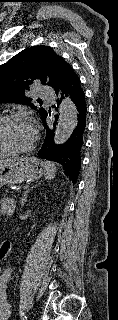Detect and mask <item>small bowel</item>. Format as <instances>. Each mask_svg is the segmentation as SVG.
<instances>
[{
  "mask_svg": "<svg viewBox=\"0 0 118 320\" xmlns=\"http://www.w3.org/2000/svg\"><path fill=\"white\" fill-rule=\"evenodd\" d=\"M14 206V201L10 197H3L0 199V215H8L11 213ZM8 243L6 251L10 250V242ZM3 242V243H4ZM3 243L0 246V250L4 251ZM13 275V268H8L0 274V320H8L10 317V302L7 295V289L9 282Z\"/></svg>",
  "mask_w": 118,
  "mask_h": 320,
  "instance_id": "c3829d8e",
  "label": "small bowel"
}]
</instances>
